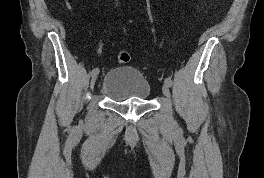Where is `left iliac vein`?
Here are the masks:
<instances>
[{"label": "left iliac vein", "mask_w": 264, "mask_h": 178, "mask_svg": "<svg viewBox=\"0 0 264 178\" xmlns=\"http://www.w3.org/2000/svg\"><path fill=\"white\" fill-rule=\"evenodd\" d=\"M162 92H163V95L166 97V98H170V90H169V86L164 83L163 87H162Z\"/></svg>", "instance_id": "4c4485c4"}]
</instances>
